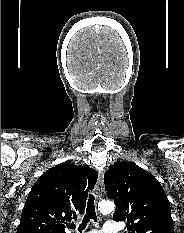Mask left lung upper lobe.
Returning a JSON list of instances; mask_svg holds the SVG:
<instances>
[{
    "label": "left lung upper lobe",
    "instance_id": "1",
    "mask_svg": "<svg viewBox=\"0 0 184 233\" xmlns=\"http://www.w3.org/2000/svg\"><path fill=\"white\" fill-rule=\"evenodd\" d=\"M104 183L116 204L113 219L127 222L128 233H174L167 195L148 171L134 162H116L104 174Z\"/></svg>",
    "mask_w": 184,
    "mask_h": 233
}]
</instances>
